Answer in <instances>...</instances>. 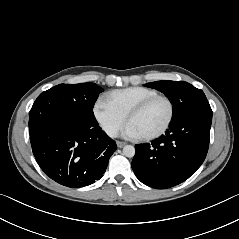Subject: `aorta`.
<instances>
[{
  "mask_svg": "<svg viewBox=\"0 0 239 239\" xmlns=\"http://www.w3.org/2000/svg\"><path fill=\"white\" fill-rule=\"evenodd\" d=\"M123 155L126 157H134L135 155V148L132 145H126L123 147Z\"/></svg>",
  "mask_w": 239,
  "mask_h": 239,
  "instance_id": "obj_1",
  "label": "aorta"
}]
</instances>
